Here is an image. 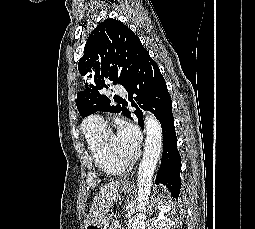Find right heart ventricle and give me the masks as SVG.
Wrapping results in <instances>:
<instances>
[{"label":"right heart ventricle","instance_id":"obj_1","mask_svg":"<svg viewBox=\"0 0 255 229\" xmlns=\"http://www.w3.org/2000/svg\"><path fill=\"white\" fill-rule=\"evenodd\" d=\"M87 147L94 165L108 176H118L123 173L124 168L118 166L104 153L101 145L102 127H87L85 120L82 125Z\"/></svg>","mask_w":255,"mask_h":229}]
</instances>
